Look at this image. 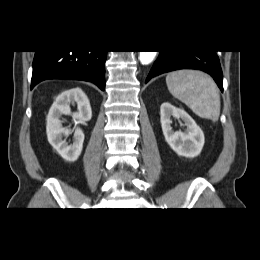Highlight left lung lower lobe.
Segmentation results:
<instances>
[{"label": "left lung lower lobe", "mask_w": 260, "mask_h": 260, "mask_svg": "<svg viewBox=\"0 0 260 260\" xmlns=\"http://www.w3.org/2000/svg\"><path fill=\"white\" fill-rule=\"evenodd\" d=\"M179 69H197L210 74L223 92V75L219 58L215 51H160L158 59L153 64L146 83L162 73Z\"/></svg>", "instance_id": "left-lung-lower-lobe-1"}]
</instances>
